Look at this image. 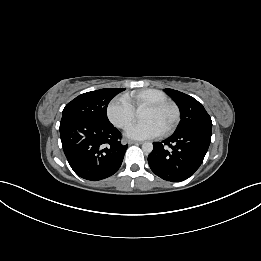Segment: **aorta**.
<instances>
[{
	"mask_svg": "<svg viewBox=\"0 0 261 261\" xmlns=\"http://www.w3.org/2000/svg\"><path fill=\"white\" fill-rule=\"evenodd\" d=\"M142 150L145 153H151L153 150V144L151 142H144L142 145Z\"/></svg>",
	"mask_w": 261,
	"mask_h": 261,
	"instance_id": "obj_1",
	"label": "aorta"
}]
</instances>
